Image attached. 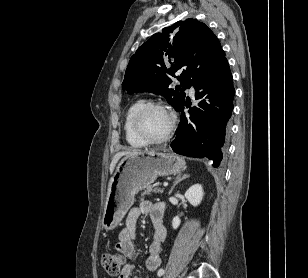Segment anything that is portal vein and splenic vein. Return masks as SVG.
<instances>
[{
  "label": "portal vein and splenic vein",
  "instance_id": "18ae733b",
  "mask_svg": "<svg viewBox=\"0 0 308 278\" xmlns=\"http://www.w3.org/2000/svg\"><path fill=\"white\" fill-rule=\"evenodd\" d=\"M163 186H164V187H167V186H168V183H167V182H165V183L163 184Z\"/></svg>",
  "mask_w": 308,
  "mask_h": 278
}]
</instances>
